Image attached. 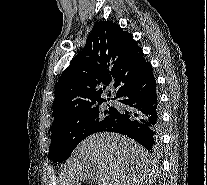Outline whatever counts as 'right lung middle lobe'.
Wrapping results in <instances>:
<instances>
[{
  "mask_svg": "<svg viewBox=\"0 0 207 185\" xmlns=\"http://www.w3.org/2000/svg\"><path fill=\"white\" fill-rule=\"evenodd\" d=\"M116 118L115 107H97L51 128L50 159L54 163L66 160L82 140L93 133L100 132Z\"/></svg>",
  "mask_w": 207,
  "mask_h": 185,
  "instance_id": "dd1d6c3e",
  "label": "right lung middle lobe"
}]
</instances>
